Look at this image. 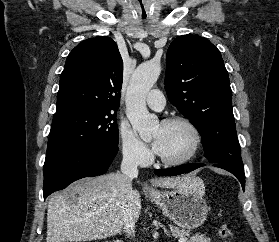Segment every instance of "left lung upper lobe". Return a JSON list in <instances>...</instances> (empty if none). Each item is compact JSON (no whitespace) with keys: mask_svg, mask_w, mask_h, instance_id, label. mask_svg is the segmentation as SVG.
I'll return each instance as SVG.
<instances>
[{"mask_svg":"<svg viewBox=\"0 0 279 242\" xmlns=\"http://www.w3.org/2000/svg\"><path fill=\"white\" fill-rule=\"evenodd\" d=\"M165 89L190 119L211 162L244 173L232 109V90L220 51L206 38L182 35L166 56Z\"/></svg>","mask_w":279,"mask_h":242,"instance_id":"1","label":"left lung upper lobe"}]
</instances>
